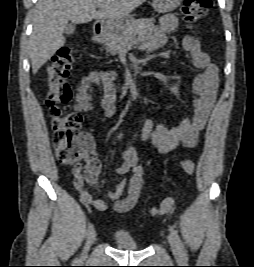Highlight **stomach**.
Masks as SVG:
<instances>
[{
    "label": "stomach",
    "mask_w": 254,
    "mask_h": 267,
    "mask_svg": "<svg viewBox=\"0 0 254 267\" xmlns=\"http://www.w3.org/2000/svg\"><path fill=\"white\" fill-rule=\"evenodd\" d=\"M181 2L182 0H153L152 6L159 13H167L174 11L180 6ZM133 21L135 20L131 15L106 21L102 25V34L103 36L108 37L112 34L119 33L131 25Z\"/></svg>",
    "instance_id": "obj_1"
}]
</instances>
